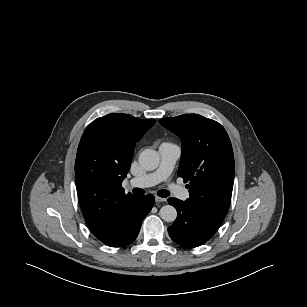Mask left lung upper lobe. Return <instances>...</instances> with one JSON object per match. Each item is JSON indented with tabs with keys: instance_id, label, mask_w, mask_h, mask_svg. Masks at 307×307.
<instances>
[{
	"instance_id": "left-lung-upper-lobe-1",
	"label": "left lung upper lobe",
	"mask_w": 307,
	"mask_h": 307,
	"mask_svg": "<svg viewBox=\"0 0 307 307\" xmlns=\"http://www.w3.org/2000/svg\"><path fill=\"white\" fill-rule=\"evenodd\" d=\"M181 138L178 176L189 182L185 205L199 218L219 228L231 202L234 155L225 129L197 114L159 120Z\"/></svg>"
}]
</instances>
